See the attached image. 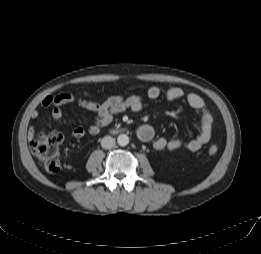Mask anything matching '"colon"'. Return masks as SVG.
Returning <instances> with one entry per match:
<instances>
[{"mask_svg":"<svg viewBox=\"0 0 261 254\" xmlns=\"http://www.w3.org/2000/svg\"><path fill=\"white\" fill-rule=\"evenodd\" d=\"M63 140L64 137L60 132L39 133L34 135L30 140L32 153L42 162L48 171L56 172L62 167L61 145ZM217 152V145L212 144L209 146V156H215Z\"/></svg>","mask_w":261,"mask_h":254,"instance_id":"obj_1","label":"colon"}]
</instances>
